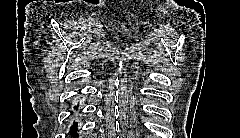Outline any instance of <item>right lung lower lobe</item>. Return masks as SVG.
<instances>
[{
	"label": "right lung lower lobe",
	"mask_w": 240,
	"mask_h": 138,
	"mask_svg": "<svg viewBox=\"0 0 240 138\" xmlns=\"http://www.w3.org/2000/svg\"><path fill=\"white\" fill-rule=\"evenodd\" d=\"M79 105L75 107V109H78ZM77 126H78V123L77 122H74L73 125L71 126L70 128V135L71 137H78V129H77Z\"/></svg>",
	"instance_id": "obj_1"
}]
</instances>
